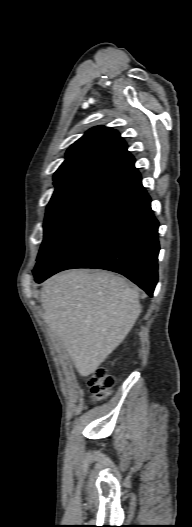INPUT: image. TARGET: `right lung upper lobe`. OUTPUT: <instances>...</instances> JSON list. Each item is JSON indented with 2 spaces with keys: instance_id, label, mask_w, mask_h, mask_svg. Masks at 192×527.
I'll return each instance as SVG.
<instances>
[{
  "instance_id": "obj_1",
  "label": "right lung upper lobe",
  "mask_w": 192,
  "mask_h": 527,
  "mask_svg": "<svg viewBox=\"0 0 192 527\" xmlns=\"http://www.w3.org/2000/svg\"><path fill=\"white\" fill-rule=\"evenodd\" d=\"M133 162L134 157L116 130L94 127L67 150L54 184L58 187L87 179L108 182Z\"/></svg>"
}]
</instances>
